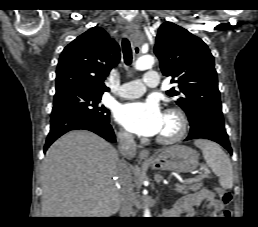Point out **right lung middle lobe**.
Wrapping results in <instances>:
<instances>
[{"mask_svg": "<svg viewBox=\"0 0 258 227\" xmlns=\"http://www.w3.org/2000/svg\"><path fill=\"white\" fill-rule=\"evenodd\" d=\"M102 94L80 90L56 93L52 114L59 112L76 113L99 123H109V111L100 104Z\"/></svg>", "mask_w": 258, "mask_h": 227, "instance_id": "1", "label": "right lung middle lobe"}]
</instances>
